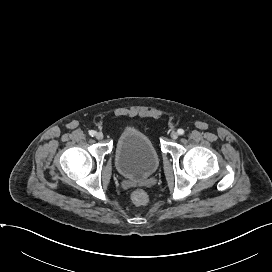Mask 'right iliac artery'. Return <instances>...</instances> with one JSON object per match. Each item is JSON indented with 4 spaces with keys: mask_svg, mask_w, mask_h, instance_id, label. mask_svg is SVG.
Masks as SVG:
<instances>
[{
    "mask_svg": "<svg viewBox=\"0 0 272 272\" xmlns=\"http://www.w3.org/2000/svg\"><path fill=\"white\" fill-rule=\"evenodd\" d=\"M95 134H96V132H95L94 130H90V131H89V135H90V136L93 137Z\"/></svg>",
    "mask_w": 272,
    "mask_h": 272,
    "instance_id": "1",
    "label": "right iliac artery"
}]
</instances>
